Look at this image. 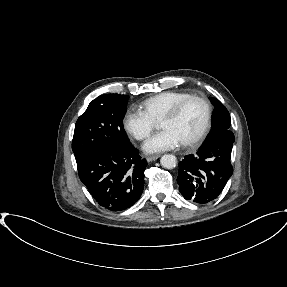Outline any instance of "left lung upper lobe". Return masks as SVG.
<instances>
[{
  "instance_id": "5c2ea615",
  "label": "left lung upper lobe",
  "mask_w": 287,
  "mask_h": 287,
  "mask_svg": "<svg viewBox=\"0 0 287 287\" xmlns=\"http://www.w3.org/2000/svg\"><path fill=\"white\" fill-rule=\"evenodd\" d=\"M210 101L214 105V111L212 113V127L203 144L211 142L222 133L230 130L229 128L231 125L230 114L225 106L216 98H210Z\"/></svg>"
}]
</instances>
